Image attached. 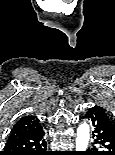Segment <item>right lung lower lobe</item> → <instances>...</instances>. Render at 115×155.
Segmentation results:
<instances>
[{
  "label": "right lung lower lobe",
  "mask_w": 115,
  "mask_h": 155,
  "mask_svg": "<svg viewBox=\"0 0 115 155\" xmlns=\"http://www.w3.org/2000/svg\"><path fill=\"white\" fill-rule=\"evenodd\" d=\"M44 135V130L41 128L33 133L8 139L0 155H51L46 150Z\"/></svg>",
  "instance_id": "98d812e1"
}]
</instances>
